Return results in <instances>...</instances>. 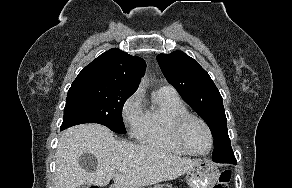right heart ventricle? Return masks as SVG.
Masks as SVG:
<instances>
[{
    "mask_svg": "<svg viewBox=\"0 0 292 188\" xmlns=\"http://www.w3.org/2000/svg\"><path fill=\"white\" fill-rule=\"evenodd\" d=\"M187 113L188 109L176 92L158 89L153 93L152 104L142 111L135 132L137 140L176 155H186L173 136L172 125L177 117Z\"/></svg>",
    "mask_w": 292,
    "mask_h": 188,
    "instance_id": "obj_1",
    "label": "right heart ventricle"
}]
</instances>
